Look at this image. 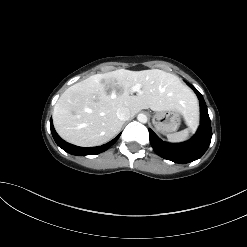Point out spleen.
Here are the masks:
<instances>
[{
  "instance_id": "1",
  "label": "spleen",
  "mask_w": 247,
  "mask_h": 247,
  "mask_svg": "<svg viewBox=\"0 0 247 247\" xmlns=\"http://www.w3.org/2000/svg\"><path fill=\"white\" fill-rule=\"evenodd\" d=\"M197 120L198 117L191 118V120H186V123L189 126V128L176 133L168 134L167 135L168 141L172 143H179L186 141L189 138L191 129L197 125Z\"/></svg>"
}]
</instances>
